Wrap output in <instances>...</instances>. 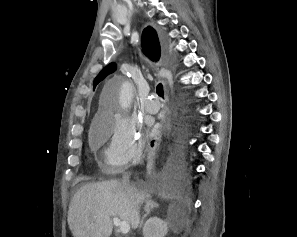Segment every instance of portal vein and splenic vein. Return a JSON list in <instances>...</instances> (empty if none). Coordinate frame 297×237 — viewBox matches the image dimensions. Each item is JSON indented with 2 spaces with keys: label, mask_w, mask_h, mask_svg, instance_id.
<instances>
[{
  "label": "portal vein and splenic vein",
  "mask_w": 297,
  "mask_h": 237,
  "mask_svg": "<svg viewBox=\"0 0 297 237\" xmlns=\"http://www.w3.org/2000/svg\"><path fill=\"white\" fill-rule=\"evenodd\" d=\"M113 223L115 226L119 227V230L122 234L129 233L130 224L127 221H121L118 217H114Z\"/></svg>",
  "instance_id": "obj_1"
}]
</instances>
